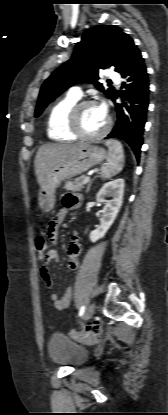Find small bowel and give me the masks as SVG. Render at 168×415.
Returning <instances> with one entry per match:
<instances>
[{
	"instance_id": "small-bowel-1",
	"label": "small bowel",
	"mask_w": 168,
	"mask_h": 415,
	"mask_svg": "<svg viewBox=\"0 0 168 415\" xmlns=\"http://www.w3.org/2000/svg\"><path fill=\"white\" fill-rule=\"evenodd\" d=\"M81 204V196L77 194H65L62 197V209L55 215V217L49 222L46 229L48 239L55 244L59 228L64 221L67 213L70 210L76 209ZM81 253V244L77 235L72 237L71 242L67 248L68 255V268L75 270L79 267V255ZM46 269L40 270V276L44 281L46 287L51 289L53 287V280L49 272V265L52 262H57L59 259V253L56 247H52L46 252ZM73 296V290L71 287L66 288L62 296H58L56 293H51L50 297L56 309L64 310L71 304Z\"/></svg>"
}]
</instances>
